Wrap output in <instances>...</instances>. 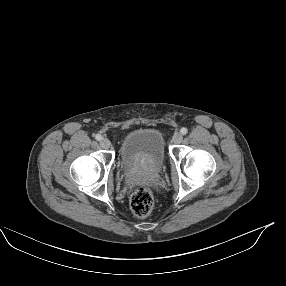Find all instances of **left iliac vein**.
<instances>
[{"label": "left iliac vein", "mask_w": 286, "mask_h": 286, "mask_svg": "<svg viewBox=\"0 0 286 286\" xmlns=\"http://www.w3.org/2000/svg\"><path fill=\"white\" fill-rule=\"evenodd\" d=\"M183 140V135L180 132H176L172 137V142L174 144H179Z\"/></svg>", "instance_id": "4c4485c4"}]
</instances>
